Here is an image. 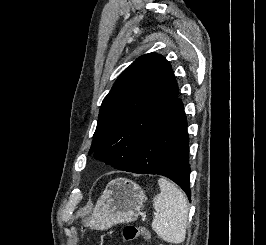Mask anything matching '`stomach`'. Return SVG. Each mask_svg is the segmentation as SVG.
I'll return each instance as SVG.
<instances>
[{
	"label": "stomach",
	"instance_id": "0dacf381",
	"mask_svg": "<svg viewBox=\"0 0 266 245\" xmlns=\"http://www.w3.org/2000/svg\"><path fill=\"white\" fill-rule=\"evenodd\" d=\"M146 201L147 197L137 183L122 177L113 179L83 225L95 231H105L118 223H132L137 221Z\"/></svg>",
	"mask_w": 266,
	"mask_h": 245
}]
</instances>
